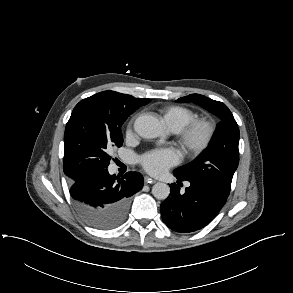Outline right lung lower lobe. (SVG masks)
I'll use <instances>...</instances> for the list:
<instances>
[{
  "label": "right lung lower lobe",
  "mask_w": 293,
  "mask_h": 293,
  "mask_svg": "<svg viewBox=\"0 0 293 293\" xmlns=\"http://www.w3.org/2000/svg\"><path fill=\"white\" fill-rule=\"evenodd\" d=\"M143 182L138 172H127L119 177L110 175L107 168H97L72 181L70 194L83 216L117 214L124 221L129 209V197L143 187Z\"/></svg>",
  "instance_id": "1"
}]
</instances>
